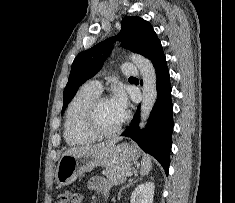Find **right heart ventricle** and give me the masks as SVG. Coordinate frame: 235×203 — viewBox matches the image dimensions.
<instances>
[{
	"mask_svg": "<svg viewBox=\"0 0 235 203\" xmlns=\"http://www.w3.org/2000/svg\"><path fill=\"white\" fill-rule=\"evenodd\" d=\"M99 94V91L89 84H85L78 90L68 105L64 124V138L69 145H83L97 139L86 130L84 116L91 100Z\"/></svg>",
	"mask_w": 235,
	"mask_h": 203,
	"instance_id": "right-heart-ventricle-1",
	"label": "right heart ventricle"
}]
</instances>
